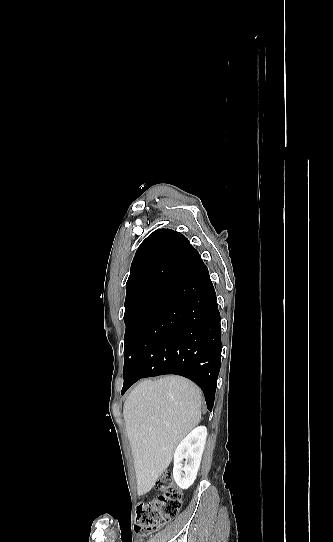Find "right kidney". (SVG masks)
Segmentation results:
<instances>
[{
	"label": "right kidney",
	"instance_id": "1",
	"mask_svg": "<svg viewBox=\"0 0 333 542\" xmlns=\"http://www.w3.org/2000/svg\"><path fill=\"white\" fill-rule=\"evenodd\" d=\"M206 438L207 428L198 426L180 442L175 450L173 478L181 490H188L196 480ZM183 460H186L185 466L182 464Z\"/></svg>",
	"mask_w": 333,
	"mask_h": 542
}]
</instances>
